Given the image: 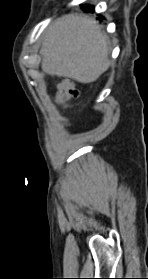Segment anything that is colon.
<instances>
[{"mask_svg": "<svg viewBox=\"0 0 148 279\" xmlns=\"http://www.w3.org/2000/svg\"><path fill=\"white\" fill-rule=\"evenodd\" d=\"M74 81L63 79L54 86V97L58 100L67 99L77 95Z\"/></svg>", "mask_w": 148, "mask_h": 279, "instance_id": "1", "label": "colon"}]
</instances>
